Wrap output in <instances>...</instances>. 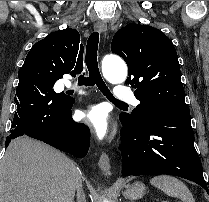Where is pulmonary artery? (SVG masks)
<instances>
[{"label":"pulmonary artery","instance_id":"pulmonary-artery-1","mask_svg":"<svg viewBox=\"0 0 209 202\" xmlns=\"http://www.w3.org/2000/svg\"><path fill=\"white\" fill-rule=\"evenodd\" d=\"M65 85L67 87H71V84L69 81H65L64 82ZM76 92L80 95H83V96H86V93L84 90L82 89H75ZM114 98L121 101V102H124V103H128V104H131L133 106H137L139 105L140 101L134 96L133 92L128 89V88H122L120 86H116L115 87V95H114Z\"/></svg>","mask_w":209,"mask_h":202}]
</instances>
